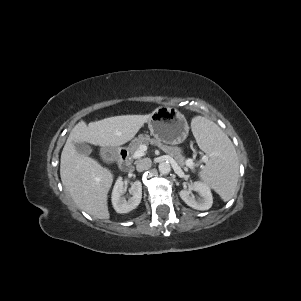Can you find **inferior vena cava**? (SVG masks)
Masks as SVG:
<instances>
[{"mask_svg":"<svg viewBox=\"0 0 301 301\" xmlns=\"http://www.w3.org/2000/svg\"><path fill=\"white\" fill-rule=\"evenodd\" d=\"M151 163L152 161L150 158H144L140 160L136 166L137 171L141 172V171L148 170L151 167Z\"/></svg>","mask_w":301,"mask_h":301,"instance_id":"1","label":"inferior vena cava"}]
</instances>
